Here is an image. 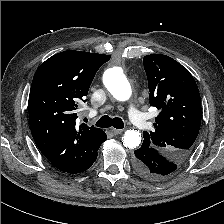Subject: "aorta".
Returning a JSON list of instances; mask_svg holds the SVG:
<instances>
[{"instance_id": "aorta-1", "label": "aorta", "mask_w": 224, "mask_h": 224, "mask_svg": "<svg viewBox=\"0 0 224 224\" xmlns=\"http://www.w3.org/2000/svg\"><path fill=\"white\" fill-rule=\"evenodd\" d=\"M103 83L111 95L119 101H127L132 95L130 83L119 67L107 69L103 75ZM122 142L126 148L134 149L141 143V134L137 130H127Z\"/></svg>"}]
</instances>
